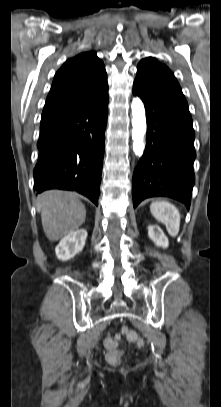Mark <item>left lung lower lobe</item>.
<instances>
[{
	"instance_id": "obj_1",
	"label": "left lung lower lobe",
	"mask_w": 221,
	"mask_h": 407,
	"mask_svg": "<svg viewBox=\"0 0 221 407\" xmlns=\"http://www.w3.org/2000/svg\"><path fill=\"white\" fill-rule=\"evenodd\" d=\"M145 104L146 148L133 175L134 208L149 197L176 199L189 209L195 183V133L180 87L152 88L134 82Z\"/></svg>"
}]
</instances>
